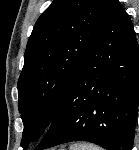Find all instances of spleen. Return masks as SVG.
Here are the masks:
<instances>
[{
  "label": "spleen",
  "mask_w": 139,
  "mask_h": 150,
  "mask_svg": "<svg viewBox=\"0 0 139 150\" xmlns=\"http://www.w3.org/2000/svg\"><path fill=\"white\" fill-rule=\"evenodd\" d=\"M70 150H102V149L95 145L81 143L71 146Z\"/></svg>",
  "instance_id": "obj_1"
}]
</instances>
